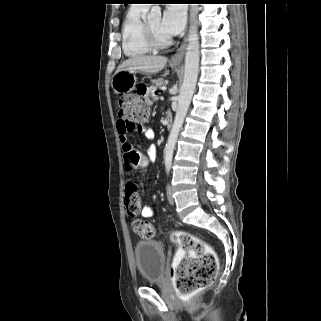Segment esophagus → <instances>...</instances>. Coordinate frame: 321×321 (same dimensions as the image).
<instances>
[{
	"label": "esophagus",
	"mask_w": 321,
	"mask_h": 321,
	"mask_svg": "<svg viewBox=\"0 0 321 321\" xmlns=\"http://www.w3.org/2000/svg\"><path fill=\"white\" fill-rule=\"evenodd\" d=\"M186 45H187V36L185 37L183 43L180 45L176 53L171 57L172 62H180L183 59Z\"/></svg>",
	"instance_id": "obj_1"
}]
</instances>
